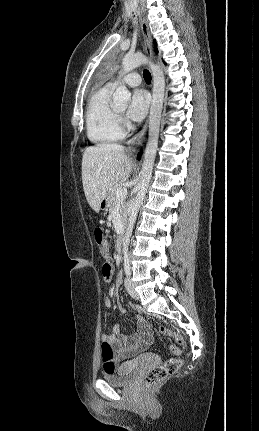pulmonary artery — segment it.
<instances>
[{"label": "pulmonary artery", "mask_w": 259, "mask_h": 431, "mask_svg": "<svg viewBox=\"0 0 259 431\" xmlns=\"http://www.w3.org/2000/svg\"><path fill=\"white\" fill-rule=\"evenodd\" d=\"M123 82L131 87L138 86L141 83L140 75L136 72L129 73L123 78ZM108 85L114 87L116 85L115 81L108 83Z\"/></svg>", "instance_id": "1"}]
</instances>
